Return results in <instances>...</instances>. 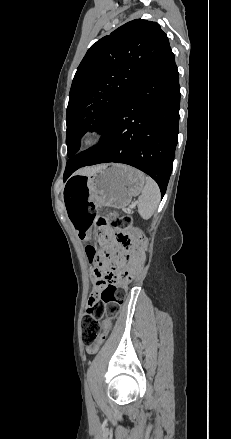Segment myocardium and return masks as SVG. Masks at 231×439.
Here are the masks:
<instances>
[{"label":"myocardium","mask_w":231,"mask_h":439,"mask_svg":"<svg viewBox=\"0 0 231 439\" xmlns=\"http://www.w3.org/2000/svg\"><path fill=\"white\" fill-rule=\"evenodd\" d=\"M104 141V133L97 129L84 131L79 137V146L82 149L90 150L99 147Z\"/></svg>","instance_id":"obj_1"}]
</instances>
